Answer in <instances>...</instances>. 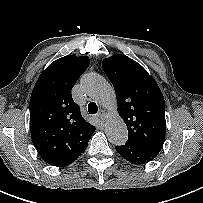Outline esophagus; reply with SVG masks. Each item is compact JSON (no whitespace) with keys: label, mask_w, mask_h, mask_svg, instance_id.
<instances>
[{"label":"esophagus","mask_w":203,"mask_h":203,"mask_svg":"<svg viewBox=\"0 0 203 203\" xmlns=\"http://www.w3.org/2000/svg\"><path fill=\"white\" fill-rule=\"evenodd\" d=\"M97 116L101 121H104L106 118V113L104 110H100L99 113L97 114Z\"/></svg>","instance_id":"obj_1"}]
</instances>
